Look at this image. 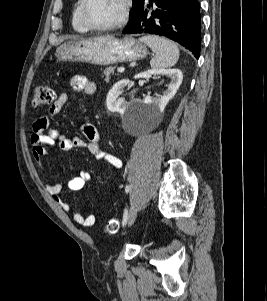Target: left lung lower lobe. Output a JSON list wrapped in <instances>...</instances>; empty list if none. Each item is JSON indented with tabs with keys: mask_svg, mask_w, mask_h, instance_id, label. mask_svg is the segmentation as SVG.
I'll return each mask as SVG.
<instances>
[{
	"mask_svg": "<svg viewBox=\"0 0 267 301\" xmlns=\"http://www.w3.org/2000/svg\"><path fill=\"white\" fill-rule=\"evenodd\" d=\"M198 0H147L123 34L168 37L200 56L201 15Z\"/></svg>",
	"mask_w": 267,
	"mask_h": 301,
	"instance_id": "left-lung-lower-lobe-1",
	"label": "left lung lower lobe"
}]
</instances>
